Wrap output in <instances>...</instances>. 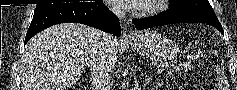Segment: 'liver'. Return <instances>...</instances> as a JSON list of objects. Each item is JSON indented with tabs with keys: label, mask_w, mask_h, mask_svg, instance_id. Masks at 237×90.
Instances as JSON below:
<instances>
[{
	"label": "liver",
	"mask_w": 237,
	"mask_h": 90,
	"mask_svg": "<svg viewBox=\"0 0 237 90\" xmlns=\"http://www.w3.org/2000/svg\"><path fill=\"white\" fill-rule=\"evenodd\" d=\"M101 36L84 24H58L36 34L20 60L21 90L73 88L98 52Z\"/></svg>",
	"instance_id": "6515ba94"
}]
</instances>
